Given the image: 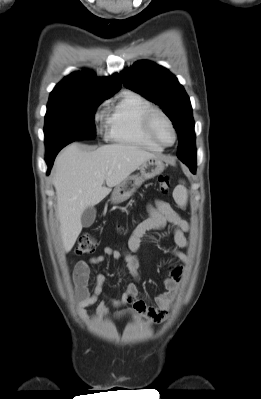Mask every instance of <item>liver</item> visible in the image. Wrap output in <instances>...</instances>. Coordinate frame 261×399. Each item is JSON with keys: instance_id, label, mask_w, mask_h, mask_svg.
I'll return each mask as SVG.
<instances>
[{"instance_id": "obj_1", "label": "liver", "mask_w": 261, "mask_h": 399, "mask_svg": "<svg viewBox=\"0 0 261 399\" xmlns=\"http://www.w3.org/2000/svg\"><path fill=\"white\" fill-rule=\"evenodd\" d=\"M151 158L158 157L128 144L104 145L94 151H83L77 144H71L57 156L53 185L66 253L71 251L82 231L83 211L101 202L112 187ZM104 181L107 187L103 186Z\"/></svg>"}]
</instances>
